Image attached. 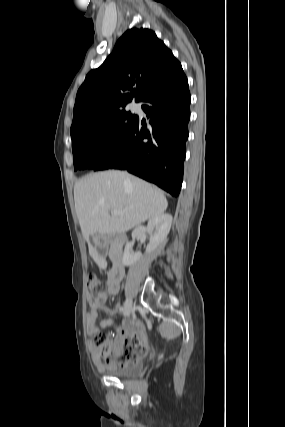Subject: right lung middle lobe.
I'll list each match as a JSON object with an SVG mask.
<instances>
[{"label":"right lung middle lobe","mask_w":285,"mask_h":427,"mask_svg":"<svg viewBox=\"0 0 285 427\" xmlns=\"http://www.w3.org/2000/svg\"><path fill=\"white\" fill-rule=\"evenodd\" d=\"M137 116L121 109L71 132L74 170L93 169L127 138Z\"/></svg>","instance_id":"1"}]
</instances>
